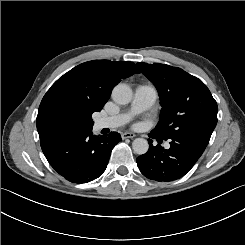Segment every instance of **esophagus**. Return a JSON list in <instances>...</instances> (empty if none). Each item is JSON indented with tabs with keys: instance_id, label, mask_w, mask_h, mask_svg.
<instances>
[{
	"instance_id": "34e87169",
	"label": "esophagus",
	"mask_w": 245,
	"mask_h": 245,
	"mask_svg": "<svg viewBox=\"0 0 245 245\" xmlns=\"http://www.w3.org/2000/svg\"><path fill=\"white\" fill-rule=\"evenodd\" d=\"M136 135L134 133H131V132H124L122 133L121 135V138L122 139H126V138H133L135 137Z\"/></svg>"
}]
</instances>
